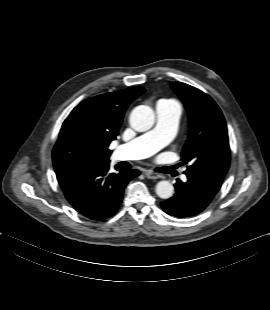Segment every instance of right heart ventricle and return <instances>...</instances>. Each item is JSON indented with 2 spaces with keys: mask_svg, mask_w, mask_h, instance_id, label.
Segmentation results:
<instances>
[{
  "mask_svg": "<svg viewBox=\"0 0 270 310\" xmlns=\"http://www.w3.org/2000/svg\"><path fill=\"white\" fill-rule=\"evenodd\" d=\"M159 102H166V103L175 104L179 106V104L175 100H171V99L160 100Z\"/></svg>",
  "mask_w": 270,
  "mask_h": 310,
  "instance_id": "obj_1",
  "label": "right heart ventricle"
}]
</instances>
